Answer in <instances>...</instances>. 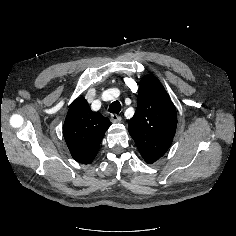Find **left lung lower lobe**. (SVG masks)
Here are the masks:
<instances>
[{"mask_svg":"<svg viewBox=\"0 0 236 236\" xmlns=\"http://www.w3.org/2000/svg\"><path fill=\"white\" fill-rule=\"evenodd\" d=\"M147 163H149V164H152L153 162H149V161H146Z\"/></svg>","mask_w":236,"mask_h":236,"instance_id":"obj_1","label":"left lung lower lobe"}]
</instances>
